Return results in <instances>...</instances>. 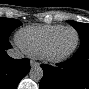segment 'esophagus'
I'll return each mask as SVG.
<instances>
[{
    "label": "esophagus",
    "mask_w": 89,
    "mask_h": 89,
    "mask_svg": "<svg viewBox=\"0 0 89 89\" xmlns=\"http://www.w3.org/2000/svg\"><path fill=\"white\" fill-rule=\"evenodd\" d=\"M30 64H31V67H37V66H39V63L36 62V61H34V60H31Z\"/></svg>",
    "instance_id": "obj_1"
}]
</instances>
